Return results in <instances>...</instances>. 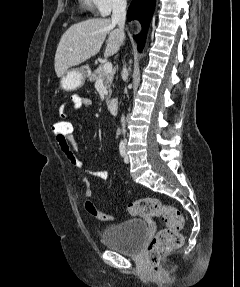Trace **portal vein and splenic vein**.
<instances>
[{
  "instance_id": "obj_1",
  "label": "portal vein and splenic vein",
  "mask_w": 240,
  "mask_h": 287,
  "mask_svg": "<svg viewBox=\"0 0 240 287\" xmlns=\"http://www.w3.org/2000/svg\"><path fill=\"white\" fill-rule=\"evenodd\" d=\"M103 70L105 73H109L112 71V64L110 62H106L103 64Z\"/></svg>"
}]
</instances>
